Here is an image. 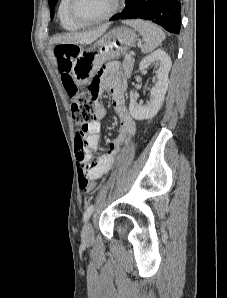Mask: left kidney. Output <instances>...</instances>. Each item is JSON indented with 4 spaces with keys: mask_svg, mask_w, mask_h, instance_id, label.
I'll return each instance as SVG.
<instances>
[{
    "mask_svg": "<svg viewBox=\"0 0 227 298\" xmlns=\"http://www.w3.org/2000/svg\"><path fill=\"white\" fill-rule=\"evenodd\" d=\"M150 65L159 67L157 81L150 92V100L145 105L138 104L134 91H130L129 111L136 120L153 118L161 108L167 91L168 75L172 65L169 55L163 49H158L140 62L139 69L142 71Z\"/></svg>",
    "mask_w": 227,
    "mask_h": 298,
    "instance_id": "obj_1",
    "label": "left kidney"
}]
</instances>
